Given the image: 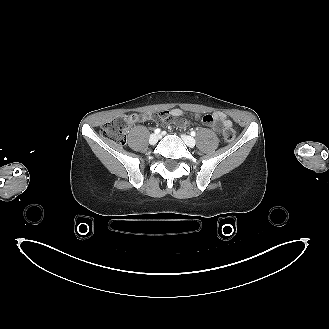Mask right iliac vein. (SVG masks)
Instances as JSON below:
<instances>
[{
    "label": "right iliac vein",
    "mask_w": 329,
    "mask_h": 329,
    "mask_svg": "<svg viewBox=\"0 0 329 329\" xmlns=\"http://www.w3.org/2000/svg\"><path fill=\"white\" fill-rule=\"evenodd\" d=\"M160 139V135H157V134H152L150 137H149V143L154 145L158 142V140Z\"/></svg>",
    "instance_id": "obj_1"
}]
</instances>
